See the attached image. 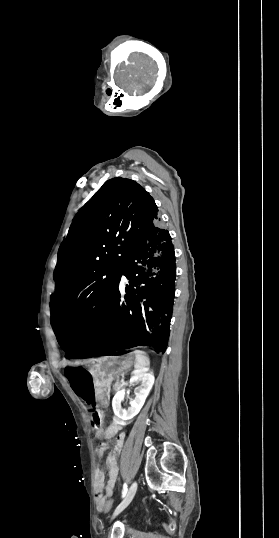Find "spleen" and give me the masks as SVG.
Listing matches in <instances>:
<instances>
[{"mask_svg":"<svg viewBox=\"0 0 279 538\" xmlns=\"http://www.w3.org/2000/svg\"><path fill=\"white\" fill-rule=\"evenodd\" d=\"M135 356V368L136 370H143V368H149L150 366V360L145 354V352H141V350H135V352H132Z\"/></svg>","mask_w":279,"mask_h":538,"instance_id":"3e777b00","label":"spleen"}]
</instances>
